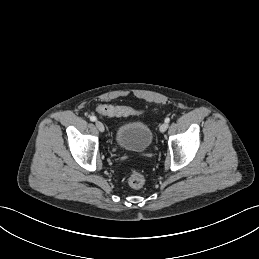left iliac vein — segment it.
I'll use <instances>...</instances> for the list:
<instances>
[{
  "label": "left iliac vein",
  "mask_w": 259,
  "mask_h": 259,
  "mask_svg": "<svg viewBox=\"0 0 259 259\" xmlns=\"http://www.w3.org/2000/svg\"><path fill=\"white\" fill-rule=\"evenodd\" d=\"M167 128H168V123H163L160 125L159 130H160V132H165L167 130Z\"/></svg>",
  "instance_id": "left-iliac-vein-1"
}]
</instances>
